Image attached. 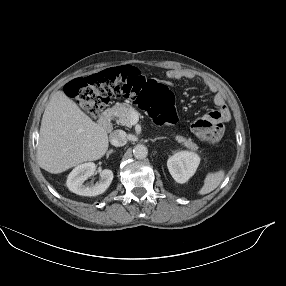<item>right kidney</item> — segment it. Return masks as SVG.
I'll list each match as a JSON object with an SVG mask.
<instances>
[{
  "label": "right kidney",
  "mask_w": 286,
  "mask_h": 286,
  "mask_svg": "<svg viewBox=\"0 0 286 286\" xmlns=\"http://www.w3.org/2000/svg\"><path fill=\"white\" fill-rule=\"evenodd\" d=\"M95 170L96 166L92 162L75 167L68 175V189L82 196H96L105 192L113 180V172L111 170L104 169L101 171L99 183L95 185L84 184V182L94 174Z\"/></svg>",
  "instance_id": "obj_1"
}]
</instances>
